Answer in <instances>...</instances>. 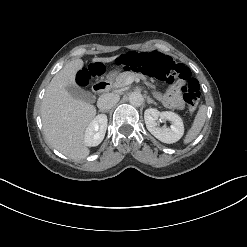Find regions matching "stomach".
<instances>
[{
    "instance_id": "stomach-1",
    "label": "stomach",
    "mask_w": 247,
    "mask_h": 247,
    "mask_svg": "<svg viewBox=\"0 0 247 247\" xmlns=\"http://www.w3.org/2000/svg\"><path fill=\"white\" fill-rule=\"evenodd\" d=\"M116 75H117L116 72H113V73L109 74V75L107 76V81H108L109 83H112V82L116 79V77H117Z\"/></svg>"
}]
</instances>
